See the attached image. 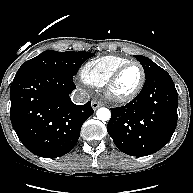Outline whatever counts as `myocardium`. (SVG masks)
Segmentation results:
<instances>
[{
  "label": "myocardium",
  "mask_w": 193,
  "mask_h": 193,
  "mask_svg": "<svg viewBox=\"0 0 193 193\" xmlns=\"http://www.w3.org/2000/svg\"><path fill=\"white\" fill-rule=\"evenodd\" d=\"M131 66H137L140 69V73H141V78L140 81L138 83V85L136 86V88L126 94V95H118L115 93V85L120 77V75L129 67ZM146 81V73L145 70L143 68V66L136 61H129L123 65H121L120 67H118L108 78V80L106 81L105 85H104V92L106 97L112 101L113 103L116 104H125L130 102L131 100H133L135 97L138 96V94L141 92V90L144 87Z\"/></svg>",
  "instance_id": "obj_1"
}]
</instances>
